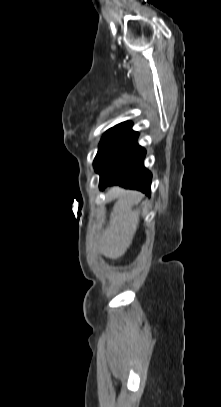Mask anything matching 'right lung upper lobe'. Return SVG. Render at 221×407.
Segmentation results:
<instances>
[{
    "label": "right lung upper lobe",
    "instance_id": "right-lung-upper-lobe-1",
    "mask_svg": "<svg viewBox=\"0 0 221 407\" xmlns=\"http://www.w3.org/2000/svg\"><path fill=\"white\" fill-rule=\"evenodd\" d=\"M131 127H132V123L128 121V122L120 123V124L114 126L111 129H114V128H131Z\"/></svg>",
    "mask_w": 221,
    "mask_h": 407
}]
</instances>
